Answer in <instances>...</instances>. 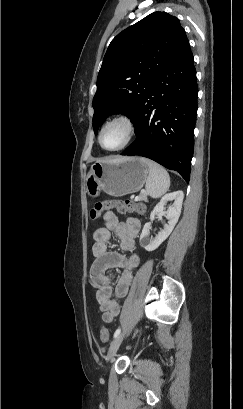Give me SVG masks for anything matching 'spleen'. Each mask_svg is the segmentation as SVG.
Listing matches in <instances>:
<instances>
[{
  "label": "spleen",
  "mask_w": 243,
  "mask_h": 409,
  "mask_svg": "<svg viewBox=\"0 0 243 409\" xmlns=\"http://www.w3.org/2000/svg\"><path fill=\"white\" fill-rule=\"evenodd\" d=\"M139 159L149 168V175L145 186L147 193L152 198L161 197L170 187V177L168 172L162 166L149 159Z\"/></svg>",
  "instance_id": "3e777b00"
}]
</instances>
